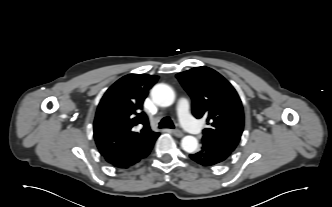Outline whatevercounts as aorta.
Instances as JSON below:
<instances>
[{"instance_id":"aorta-1","label":"aorta","mask_w":332,"mask_h":207,"mask_svg":"<svg viewBox=\"0 0 332 207\" xmlns=\"http://www.w3.org/2000/svg\"><path fill=\"white\" fill-rule=\"evenodd\" d=\"M153 101L162 107H168L173 104L175 94L172 88L166 84L155 85L151 91ZM181 147L188 153H193L198 148V140L194 136H185L181 140Z\"/></svg>"}]
</instances>
